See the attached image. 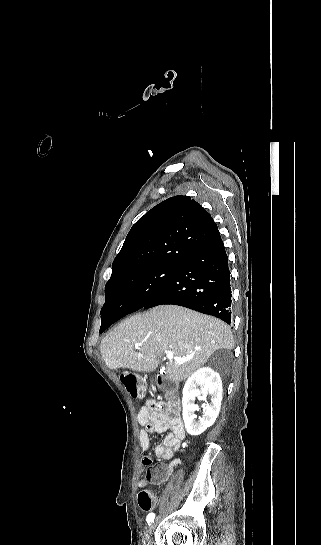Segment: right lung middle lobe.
Returning <instances> with one entry per match:
<instances>
[{
  "mask_svg": "<svg viewBox=\"0 0 321 545\" xmlns=\"http://www.w3.org/2000/svg\"><path fill=\"white\" fill-rule=\"evenodd\" d=\"M180 267L181 265L160 264L124 273L118 276L114 283L105 286L106 301L104 305L113 301L124 304L128 310H131L129 313L137 311L173 278ZM106 324L107 322L101 315L100 330H103Z\"/></svg>",
  "mask_w": 321,
  "mask_h": 545,
  "instance_id": "dd1d6c3e",
  "label": "right lung middle lobe"
}]
</instances>
